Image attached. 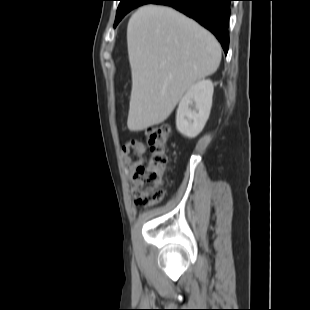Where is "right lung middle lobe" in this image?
Wrapping results in <instances>:
<instances>
[{
  "mask_svg": "<svg viewBox=\"0 0 310 310\" xmlns=\"http://www.w3.org/2000/svg\"><path fill=\"white\" fill-rule=\"evenodd\" d=\"M152 1L153 0H120L115 19V26L132 9L147 3H151Z\"/></svg>",
  "mask_w": 310,
  "mask_h": 310,
  "instance_id": "right-lung-middle-lobe-1",
  "label": "right lung middle lobe"
}]
</instances>
